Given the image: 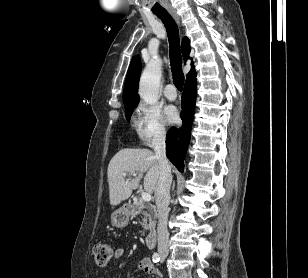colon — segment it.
<instances>
[{"mask_svg": "<svg viewBox=\"0 0 308 278\" xmlns=\"http://www.w3.org/2000/svg\"><path fill=\"white\" fill-rule=\"evenodd\" d=\"M93 256L98 266L105 267L113 256V249L108 243L99 242L93 248Z\"/></svg>", "mask_w": 308, "mask_h": 278, "instance_id": "1", "label": "colon"}]
</instances>
